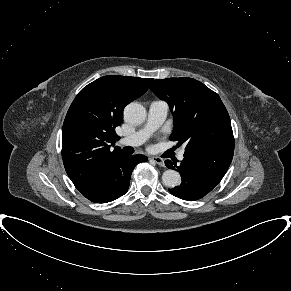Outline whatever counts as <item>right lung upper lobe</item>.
<instances>
[{
  "label": "right lung upper lobe",
  "instance_id": "right-lung-upper-lobe-1",
  "mask_svg": "<svg viewBox=\"0 0 291 291\" xmlns=\"http://www.w3.org/2000/svg\"><path fill=\"white\" fill-rule=\"evenodd\" d=\"M153 79L108 75L85 86L75 97L62 129L65 170L79 190L111 157L123 153L115 128L124 107L142 96Z\"/></svg>",
  "mask_w": 291,
  "mask_h": 291
}]
</instances>
